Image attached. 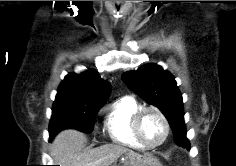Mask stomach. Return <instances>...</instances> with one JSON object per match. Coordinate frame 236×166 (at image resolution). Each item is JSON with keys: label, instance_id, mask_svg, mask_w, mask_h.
I'll use <instances>...</instances> for the list:
<instances>
[{"label": "stomach", "instance_id": "0dacf381", "mask_svg": "<svg viewBox=\"0 0 236 166\" xmlns=\"http://www.w3.org/2000/svg\"><path fill=\"white\" fill-rule=\"evenodd\" d=\"M146 161H147V163L142 165V166H162L159 163V161L156 158H153V157H146ZM124 164H125L124 166H132V165H130L128 163H124Z\"/></svg>", "mask_w": 236, "mask_h": 166}]
</instances>
